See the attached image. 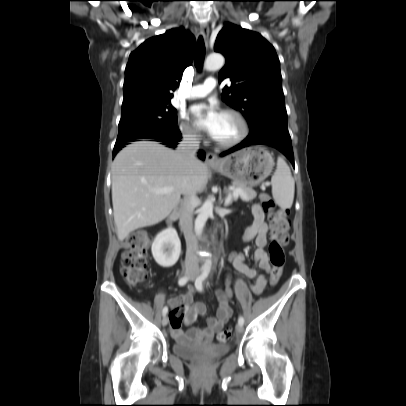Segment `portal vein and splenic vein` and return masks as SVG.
Here are the masks:
<instances>
[{
  "instance_id": "obj_1",
  "label": "portal vein and splenic vein",
  "mask_w": 406,
  "mask_h": 406,
  "mask_svg": "<svg viewBox=\"0 0 406 406\" xmlns=\"http://www.w3.org/2000/svg\"><path fill=\"white\" fill-rule=\"evenodd\" d=\"M172 190H173V188L165 187V188L153 190V192L156 194H168V193H171ZM232 196L236 200L239 196L246 197V194L241 189H234ZM227 203L228 202H226V205H227Z\"/></svg>"
}]
</instances>
